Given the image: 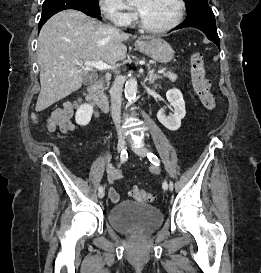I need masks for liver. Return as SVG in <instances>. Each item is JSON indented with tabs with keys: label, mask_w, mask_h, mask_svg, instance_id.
I'll use <instances>...</instances> for the list:
<instances>
[{
	"label": "liver",
	"mask_w": 261,
	"mask_h": 273,
	"mask_svg": "<svg viewBox=\"0 0 261 273\" xmlns=\"http://www.w3.org/2000/svg\"><path fill=\"white\" fill-rule=\"evenodd\" d=\"M130 35L84 13L67 9L53 15L38 37L37 60L41 90L36 111H42L81 88L92 78L77 62L103 61L115 65L126 58L123 44Z\"/></svg>",
	"instance_id": "liver-1"
}]
</instances>
